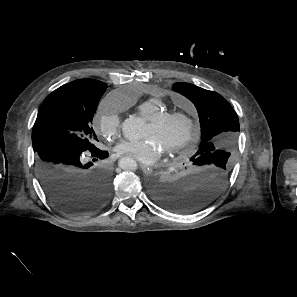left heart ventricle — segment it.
<instances>
[{
    "instance_id": "b2bd125f",
    "label": "left heart ventricle",
    "mask_w": 297,
    "mask_h": 297,
    "mask_svg": "<svg viewBox=\"0 0 297 297\" xmlns=\"http://www.w3.org/2000/svg\"><path fill=\"white\" fill-rule=\"evenodd\" d=\"M187 131V124L182 120L169 121L164 126L156 128L148 122L144 137L155 138L163 150L179 142Z\"/></svg>"
}]
</instances>
